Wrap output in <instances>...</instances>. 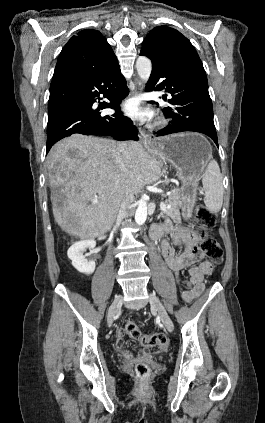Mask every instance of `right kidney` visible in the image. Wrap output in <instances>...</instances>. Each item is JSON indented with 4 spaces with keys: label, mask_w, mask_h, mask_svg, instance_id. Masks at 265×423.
<instances>
[{
    "label": "right kidney",
    "mask_w": 265,
    "mask_h": 423,
    "mask_svg": "<svg viewBox=\"0 0 265 423\" xmlns=\"http://www.w3.org/2000/svg\"><path fill=\"white\" fill-rule=\"evenodd\" d=\"M96 242L94 240H81L74 243L68 250V258L72 261L73 267L84 274H92L95 270V262L88 261L83 253L87 248L94 249Z\"/></svg>",
    "instance_id": "ca27d5eb"
}]
</instances>
